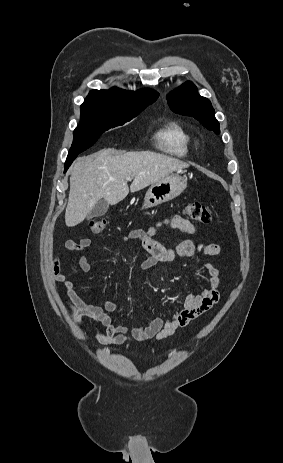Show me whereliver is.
Returning <instances> with one entry per match:
<instances>
[{
  "label": "liver",
  "mask_w": 283,
  "mask_h": 463,
  "mask_svg": "<svg viewBox=\"0 0 283 463\" xmlns=\"http://www.w3.org/2000/svg\"><path fill=\"white\" fill-rule=\"evenodd\" d=\"M188 166L179 159L151 151L119 154L114 149H104L80 157L70 169L66 226L83 222L101 199L111 205L122 201L129 193L130 178V191L136 192Z\"/></svg>",
  "instance_id": "obj_1"
}]
</instances>
